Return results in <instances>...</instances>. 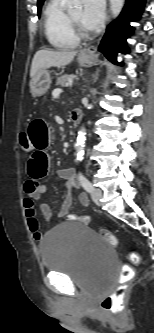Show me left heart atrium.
I'll return each instance as SVG.
<instances>
[{"label":"left heart atrium","instance_id":"39dd6f15","mask_svg":"<svg viewBox=\"0 0 154 333\" xmlns=\"http://www.w3.org/2000/svg\"><path fill=\"white\" fill-rule=\"evenodd\" d=\"M105 0H83L81 22L88 30L98 28L103 20Z\"/></svg>","mask_w":154,"mask_h":333}]
</instances>
